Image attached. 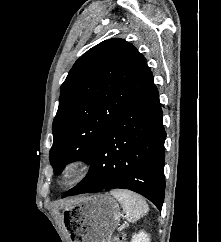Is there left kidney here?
<instances>
[{"label": "left kidney", "instance_id": "obj_1", "mask_svg": "<svg viewBox=\"0 0 221 242\" xmlns=\"http://www.w3.org/2000/svg\"><path fill=\"white\" fill-rule=\"evenodd\" d=\"M131 242H150L148 235L144 231H140L138 234L132 236Z\"/></svg>", "mask_w": 221, "mask_h": 242}]
</instances>
